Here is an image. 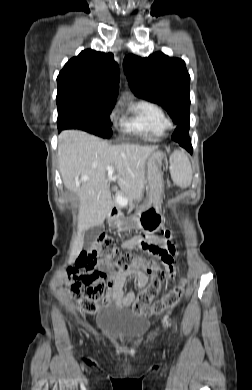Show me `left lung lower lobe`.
I'll use <instances>...</instances> for the list:
<instances>
[{
	"instance_id": "obj_1",
	"label": "left lung lower lobe",
	"mask_w": 252,
	"mask_h": 390,
	"mask_svg": "<svg viewBox=\"0 0 252 390\" xmlns=\"http://www.w3.org/2000/svg\"><path fill=\"white\" fill-rule=\"evenodd\" d=\"M188 131H189V129L180 128L176 132V134L174 136V140L176 142H178L180 144V146L184 147L187 151L192 153L193 148L191 146V141H190V138L188 136Z\"/></svg>"
}]
</instances>
